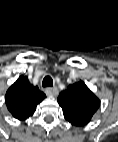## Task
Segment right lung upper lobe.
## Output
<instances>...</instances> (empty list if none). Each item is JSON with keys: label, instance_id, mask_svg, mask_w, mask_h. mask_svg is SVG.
I'll list each match as a JSON object with an SVG mask.
<instances>
[{"label": "right lung upper lobe", "instance_id": "obj_1", "mask_svg": "<svg viewBox=\"0 0 118 142\" xmlns=\"http://www.w3.org/2000/svg\"><path fill=\"white\" fill-rule=\"evenodd\" d=\"M46 97L37 86L30 84L26 76H20L9 87L5 95V102L9 112L18 120H25L32 116L37 105Z\"/></svg>", "mask_w": 118, "mask_h": 142}]
</instances>
